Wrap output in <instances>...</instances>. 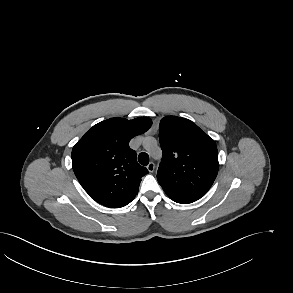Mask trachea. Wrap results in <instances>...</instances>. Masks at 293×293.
<instances>
[{
	"mask_svg": "<svg viewBox=\"0 0 293 293\" xmlns=\"http://www.w3.org/2000/svg\"><path fill=\"white\" fill-rule=\"evenodd\" d=\"M138 161L141 165H144V166L148 165V163H149L148 154L144 153V152L140 153L138 156Z\"/></svg>",
	"mask_w": 293,
	"mask_h": 293,
	"instance_id": "trachea-1",
	"label": "trachea"
}]
</instances>
